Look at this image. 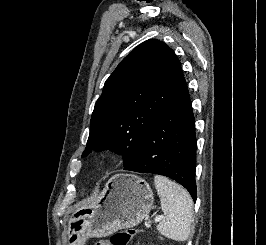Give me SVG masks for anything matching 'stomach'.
Segmentation results:
<instances>
[{"instance_id": "stomach-1", "label": "stomach", "mask_w": 266, "mask_h": 245, "mask_svg": "<svg viewBox=\"0 0 266 245\" xmlns=\"http://www.w3.org/2000/svg\"><path fill=\"white\" fill-rule=\"evenodd\" d=\"M153 193L145 179L119 173L107 181L96 203L70 217L68 245H85L88 237H109L139 225L150 213Z\"/></svg>"}]
</instances>
